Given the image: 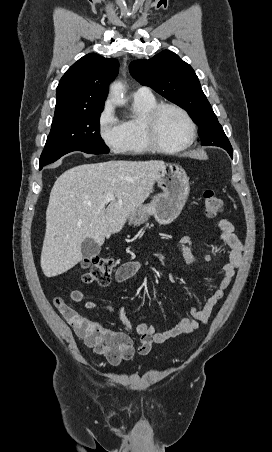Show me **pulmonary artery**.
<instances>
[{
    "label": "pulmonary artery",
    "mask_w": 272,
    "mask_h": 452,
    "mask_svg": "<svg viewBox=\"0 0 272 452\" xmlns=\"http://www.w3.org/2000/svg\"><path fill=\"white\" fill-rule=\"evenodd\" d=\"M134 95H152L150 88L148 87H139Z\"/></svg>",
    "instance_id": "obj_1"
}]
</instances>
